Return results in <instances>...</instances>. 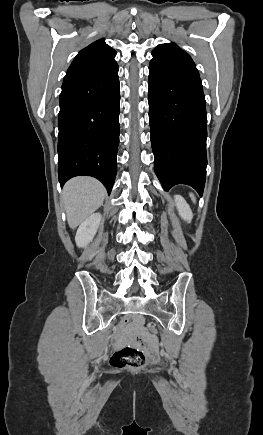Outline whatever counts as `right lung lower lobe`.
<instances>
[{
    "instance_id": "1",
    "label": "right lung lower lobe",
    "mask_w": 263,
    "mask_h": 435,
    "mask_svg": "<svg viewBox=\"0 0 263 435\" xmlns=\"http://www.w3.org/2000/svg\"><path fill=\"white\" fill-rule=\"evenodd\" d=\"M118 65L62 84L58 118L61 187L78 175L100 180L110 194L117 173Z\"/></svg>"
}]
</instances>
